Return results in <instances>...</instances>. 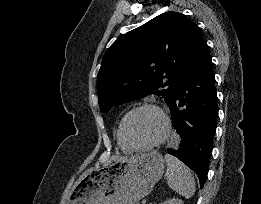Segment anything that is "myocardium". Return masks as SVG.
Here are the masks:
<instances>
[{
    "label": "myocardium",
    "mask_w": 261,
    "mask_h": 204,
    "mask_svg": "<svg viewBox=\"0 0 261 204\" xmlns=\"http://www.w3.org/2000/svg\"><path fill=\"white\" fill-rule=\"evenodd\" d=\"M142 110L154 111L159 116V118L161 119V122H162V131H161V134L159 135V137L156 138L154 141L149 142L144 145L136 146V145L130 144L126 140V138L124 136V126H125L127 119L132 114H134L138 111H142ZM170 129H171L170 119H169L167 113L165 112V110L156 103L146 102V103H142V104L134 106L133 108H131L129 111H127L125 113V115L122 117L119 127H118V137L120 139V142L130 151H146V150H150V149L162 144L167 139V137L170 133Z\"/></svg>",
    "instance_id": "myocardium-1"
}]
</instances>
